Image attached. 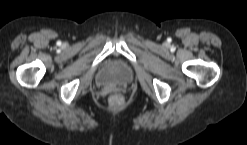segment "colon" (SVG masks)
<instances>
[{"instance_id":"colon-1","label":"colon","mask_w":247,"mask_h":145,"mask_svg":"<svg viewBox=\"0 0 247 145\" xmlns=\"http://www.w3.org/2000/svg\"><path fill=\"white\" fill-rule=\"evenodd\" d=\"M110 102L113 106H120L122 104L123 100L120 96H113L111 98Z\"/></svg>"}]
</instances>
